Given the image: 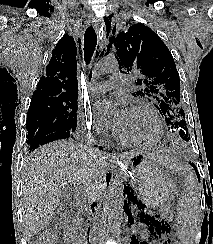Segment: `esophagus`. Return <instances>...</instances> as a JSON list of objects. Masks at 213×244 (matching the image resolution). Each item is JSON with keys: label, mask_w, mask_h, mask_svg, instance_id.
I'll return each instance as SVG.
<instances>
[{"label": "esophagus", "mask_w": 213, "mask_h": 244, "mask_svg": "<svg viewBox=\"0 0 213 244\" xmlns=\"http://www.w3.org/2000/svg\"><path fill=\"white\" fill-rule=\"evenodd\" d=\"M95 29H96V31H99V26L95 23ZM107 38L106 37H104L103 38V41H102V47H101V50L104 48V45L107 43Z\"/></svg>", "instance_id": "34e87169"}]
</instances>
